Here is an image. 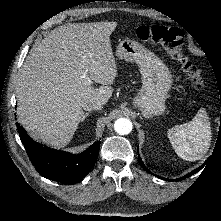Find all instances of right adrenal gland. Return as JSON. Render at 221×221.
<instances>
[{"label":"right adrenal gland","instance_id":"right-adrenal-gland-1","mask_svg":"<svg viewBox=\"0 0 221 221\" xmlns=\"http://www.w3.org/2000/svg\"><path fill=\"white\" fill-rule=\"evenodd\" d=\"M89 114H90V112L85 113V114L83 115V117H82L81 121H84V120H85V118H86V117H87Z\"/></svg>","mask_w":221,"mask_h":221}]
</instances>
